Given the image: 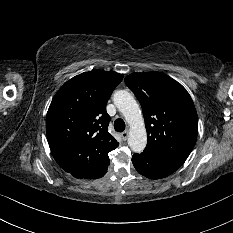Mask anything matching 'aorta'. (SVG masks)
Returning a JSON list of instances; mask_svg holds the SVG:
<instances>
[{
    "instance_id": "aorta-1",
    "label": "aorta",
    "mask_w": 233,
    "mask_h": 233,
    "mask_svg": "<svg viewBox=\"0 0 233 233\" xmlns=\"http://www.w3.org/2000/svg\"><path fill=\"white\" fill-rule=\"evenodd\" d=\"M113 101L130 126L128 145L135 153H141L147 144L144 119L134 97L125 90L115 92Z\"/></svg>"
}]
</instances>
